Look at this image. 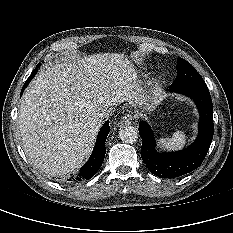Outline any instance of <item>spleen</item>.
<instances>
[{
  "instance_id": "1",
  "label": "spleen",
  "mask_w": 233,
  "mask_h": 233,
  "mask_svg": "<svg viewBox=\"0 0 233 233\" xmlns=\"http://www.w3.org/2000/svg\"><path fill=\"white\" fill-rule=\"evenodd\" d=\"M186 143V135L183 131H176L171 138H163L159 144L170 150L180 149Z\"/></svg>"
}]
</instances>
